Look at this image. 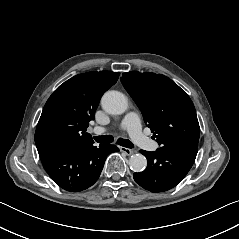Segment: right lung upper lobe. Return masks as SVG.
<instances>
[{"instance_id":"obj_1","label":"right lung upper lobe","mask_w":239,"mask_h":239,"mask_svg":"<svg viewBox=\"0 0 239 239\" xmlns=\"http://www.w3.org/2000/svg\"><path fill=\"white\" fill-rule=\"evenodd\" d=\"M120 73L111 71L79 74L60 85L47 100L36 132L38 152L56 147L92 144L86 133L100 98Z\"/></svg>"}]
</instances>
